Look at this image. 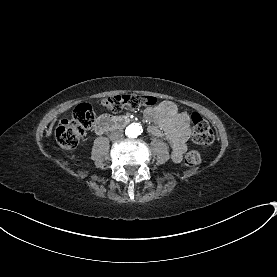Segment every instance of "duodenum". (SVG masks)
<instances>
[{
  "mask_svg": "<svg viewBox=\"0 0 277 277\" xmlns=\"http://www.w3.org/2000/svg\"><path fill=\"white\" fill-rule=\"evenodd\" d=\"M130 118L128 116H102L95 125L94 130L97 134H102L106 131L119 129L129 124Z\"/></svg>",
  "mask_w": 277,
  "mask_h": 277,
  "instance_id": "obj_1",
  "label": "duodenum"
}]
</instances>
